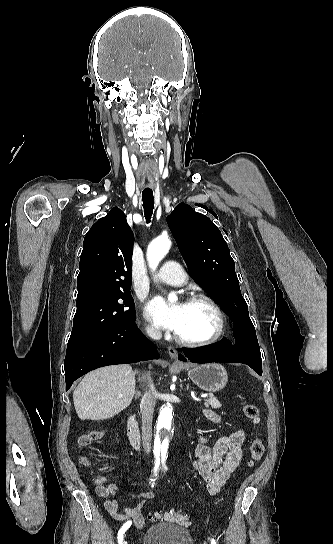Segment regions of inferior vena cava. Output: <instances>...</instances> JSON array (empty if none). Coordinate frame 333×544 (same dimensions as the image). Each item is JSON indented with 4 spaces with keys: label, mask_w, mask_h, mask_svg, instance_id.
I'll return each instance as SVG.
<instances>
[{
    "label": "inferior vena cava",
    "mask_w": 333,
    "mask_h": 544,
    "mask_svg": "<svg viewBox=\"0 0 333 544\" xmlns=\"http://www.w3.org/2000/svg\"><path fill=\"white\" fill-rule=\"evenodd\" d=\"M147 334L152 339H160L161 337V333L154 328H148ZM144 378L148 382V390H146L142 396L140 404L142 413V443L144 451L149 454L151 451L152 420L156 400L155 388L150 375H146Z\"/></svg>",
    "instance_id": "602c4592"
}]
</instances>
